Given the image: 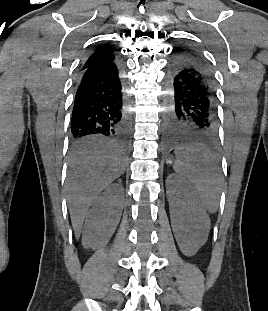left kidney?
Masks as SVG:
<instances>
[{
	"mask_svg": "<svg viewBox=\"0 0 268 311\" xmlns=\"http://www.w3.org/2000/svg\"><path fill=\"white\" fill-rule=\"evenodd\" d=\"M166 185L175 239L184 255L193 256L208 238L209 218L188 180L171 174L166 180Z\"/></svg>",
	"mask_w": 268,
	"mask_h": 311,
	"instance_id": "obj_1",
	"label": "left kidney"
}]
</instances>
